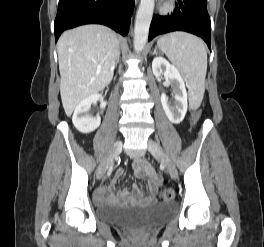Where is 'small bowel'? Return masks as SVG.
<instances>
[{"instance_id": "1", "label": "small bowel", "mask_w": 264, "mask_h": 247, "mask_svg": "<svg viewBox=\"0 0 264 247\" xmlns=\"http://www.w3.org/2000/svg\"><path fill=\"white\" fill-rule=\"evenodd\" d=\"M134 174L137 178H147L149 183L148 194L144 197L141 191L134 187L133 194L129 195L126 191L121 192L118 196L113 195L114 188L118 183V179L123 175V171L119 170L117 176L110 182L108 186L100 188L95 193V199L98 202H108L112 200H125L130 201L145 199L147 201H152L158 191L161 184V178L157 172L152 168L150 163L145 159H137L133 163Z\"/></svg>"}]
</instances>
